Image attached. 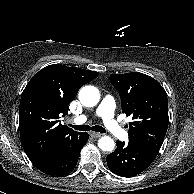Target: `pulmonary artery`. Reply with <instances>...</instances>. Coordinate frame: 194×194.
Returning a JSON list of instances; mask_svg holds the SVG:
<instances>
[{
  "instance_id": "e3ab8cb5",
  "label": "pulmonary artery",
  "mask_w": 194,
  "mask_h": 194,
  "mask_svg": "<svg viewBox=\"0 0 194 194\" xmlns=\"http://www.w3.org/2000/svg\"><path fill=\"white\" fill-rule=\"evenodd\" d=\"M115 107L116 104L114 98L110 95H107L102 99L96 114L102 118L105 127L113 136L120 139H126V131L121 127L119 122L114 119ZM74 121L79 124L84 123L87 121V116H77Z\"/></svg>"
}]
</instances>
